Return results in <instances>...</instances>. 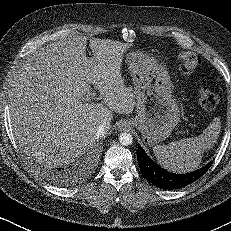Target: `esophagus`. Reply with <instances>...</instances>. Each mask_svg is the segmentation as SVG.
Here are the masks:
<instances>
[{
	"mask_svg": "<svg viewBox=\"0 0 231 231\" xmlns=\"http://www.w3.org/2000/svg\"><path fill=\"white\" fill-rule=\"evenodd\" d=\"M120 127L126 128V127H127L126 122H125V123H122Z\"/></svg>",
	"mask_w": 231,
	"mask_h": 231,
	"instance_id": "1",
	"label": "esophagus"
}]
</instances>
